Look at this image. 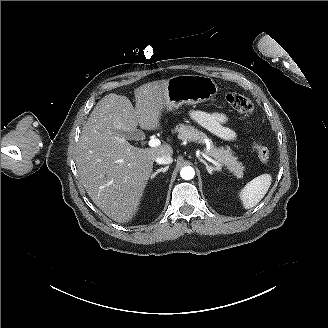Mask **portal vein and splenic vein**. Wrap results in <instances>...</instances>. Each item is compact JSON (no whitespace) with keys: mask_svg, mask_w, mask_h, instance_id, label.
<instances>
[{"mask_svg":"<svg viewBox=\"0 0 328 328\" xmlns=\"http://www.w3.org/2000/svg\"><path fill=\"white\" fill-rule=\"evenodd\" d=\"M149 146L150 147H158V146H160V144H161V141L158 139V138H151L150 140H149ZM208 149V148H207ZM202 156L203 157H205L207 160H209L210 162H212L214 165H216V166H219L220 164L217 162V161H215V160H213L212 158H210L208 155H206V153H202Z\"/></svg>","mask_w":328,"mask_h":328,"instance_id":"obj_1","label":"portal vein and splenic vein"}]
</instances>
